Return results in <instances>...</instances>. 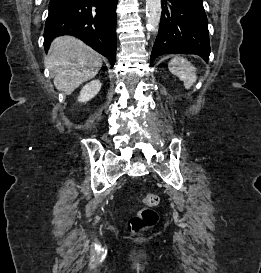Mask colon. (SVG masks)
Listing matches in <instances>:
<instances>
[{
  "label": "colon",
  "instance_id": "obj_1",
  "mask_svg": "<svg viewBox=\"0 0 261 273\" xmlns=\"http://www.w3.org/2000/svg\"><path fill=\"white\" fill-rule=\"evenodd\" d=\"M142 203L148 207L155 206L158 203L156 194H146L142 198ZM158 220L157 213L151 208H144L130 221L129 228L132 231H138L154 225Z\"/></svg>",
  "mask_w": 261,
  "mask_h": 273
}]
</instances>
